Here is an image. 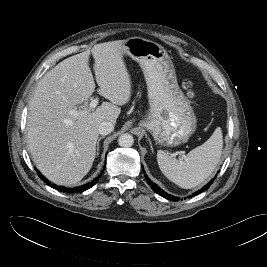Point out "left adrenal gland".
Segmentation results:
<instances>
[{
  "label": "left adrenal gland",
  "mask_w": 267,
  "mask_h": 267,
  "mask_svg": "<svg viewBox=\"0 0 267 267\" xmlns=\"http://www.w3.org/2000/svg\"><path fill=\"white\" fill-rule=\"evenodd\" d=\"M148 140H149V143H150V147H151L152 153H154V150H153V147H152V143H151L150 139H148Z\"/></svg>",
  "instance_id": "1"
}]
</instances>
